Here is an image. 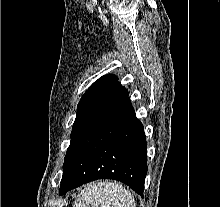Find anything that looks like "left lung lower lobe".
Wrapping results in <instances>:
<instances>
[{
  "mask_svg": "<svg viewBox=\"0 0 220 207\" xmlns=\"http://www.w3.org/2000/svg\"><path fill=\"white\" fill-rule=\"evenodd\" d=\"M146 140L128 91L117 82L71 135L59 193L115 179L143 196Z\"/></svg>",
  "mask_w": 220,
  "mask_h": 207,
  "instance_id": "1",
  "label": "left lung lower lobe"
}]
</instances>
